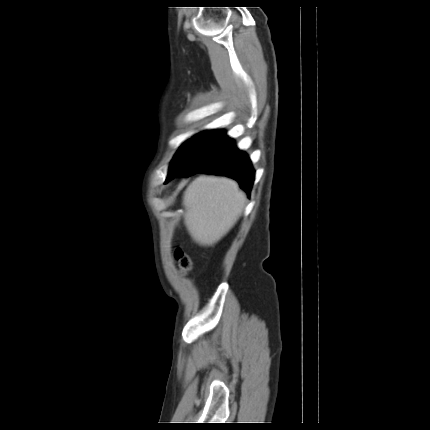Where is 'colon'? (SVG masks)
<instances>
[{
	"label": "colon",
	"instance_id": "5ec220e1",
	"mask_svg": "<svg viewBox=\"0 0 430 430\" xmlns=\"http://www.w3.org/2000/svg\"><path fill=\"white\" fill-rule=\"evenodd\" d=\"M174 257L181 272L187 273L192 269V261L190 257L181 249H176Z\"/></svg>",
	"mask_w": 430,
	"mask_h": 430
}]
</instances>
